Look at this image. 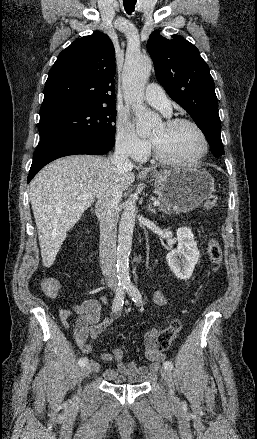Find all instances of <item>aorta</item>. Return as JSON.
<instances>
[{
  "instance_id": "1",
  "label": "aorta",
  "mask_w": 257,
  "mask_h": 439,
  "mask_svg": "<svg viewBox=\"0 0 257 439\" xmlns=\"http://www.w3.org/2000/svg\"><path fill=\"white\" fill-rule=\"evenodd\" d=\"M152 63L150 58L142 54L129 53L126 57L122 85L125 100L132 106L136 116V131L145 136L151 133L159 121L158 115L149 111L143 104L142 97L145 84L150 76ZM137 212L135 198H129L121 215L116 252V267L119 282L130 284L129 255L132 246V236Z\"/></svg>"
}]
</instances>
